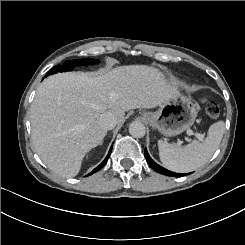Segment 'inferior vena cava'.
<instances>
[{
	"mask_svg": "<svg viewBox=\"0 0 245 245\" xmlns=\"http://www.w3.org/2000/svg\"><path fill=\"white\" fill-rule=\"evenodd\" d=\"M98 124L102 129L111 130L116 126L117 119L112 112L106 111L100 115Z\"/></svg>",
	"mask_w": 245,
	"mask_h": 245,
	"instance_id": "1",
	"label": "inferior vena cava"
}]
</instances>
